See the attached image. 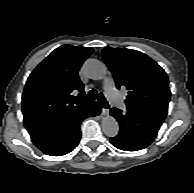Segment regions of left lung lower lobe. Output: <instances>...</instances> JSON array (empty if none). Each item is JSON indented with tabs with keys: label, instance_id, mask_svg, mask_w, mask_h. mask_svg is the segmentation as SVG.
I'll list each match as a JSON object with an SVG mask.
<instances>
[{
	"label": "left lung lower lobe",
	"instance_id": "obj_1",
	"mask_svg": "<svg viewBox=\"0 0 194 193\" xmlns=\"http://www.w3.org/2000/svg\"><path fill=\"white\" fill-rule=\"evenodd\" d=\"M110 114L117 119L120 131L110 142L124 151L141 150L155 139L163 122L127 111L112 108Z\"/></svg>",
	"mask_w": 194,
	"mask_h": 193
}]
</instances>
